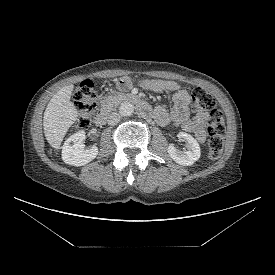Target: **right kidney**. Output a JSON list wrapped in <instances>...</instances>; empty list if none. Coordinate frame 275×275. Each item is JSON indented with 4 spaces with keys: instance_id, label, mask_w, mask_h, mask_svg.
<instances>
[{
    "instance_id": "ca27d5eb",
    "label": "right kidney",
    "mask_w": 275,
    "mask_h": 275,
    "mask_svg": "<svg viewBox=\"0 0 275 275\" xmlns=\"http://www.w3.org/2000/svg\"><path fill=\"white\" fill-rule=\"evenodd\" d=\"M85 140V132L79 131L71 135L62 147V160L69 165L82 166L96 158L98 148L92 146L85 150L83 141ZM72 143V144H71Z\"/></svg>"
}]
</instances>
